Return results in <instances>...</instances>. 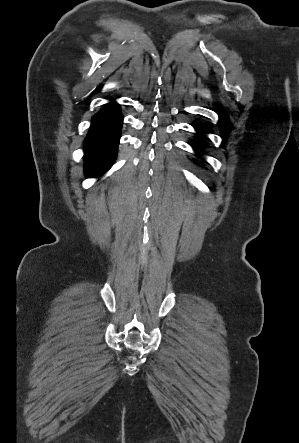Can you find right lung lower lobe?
<instances>
[{"label": "right lung lower lobe", "instance_id": "right-lung-lower-lobe-1", "mask_svg": "<svg viewBox=\"0 0 299 443\" xmlns=\"http://www.w3.org/2000/svg\"><path fill=\"white\" fill-rule=\"evenodd\" d=\"M123 116L116 103L107 104L92 118L85 139V174L97 177L114 162L120 139Z\"/></svg>", "mask_w": 299, "mask_h": 443}]
</instances>
